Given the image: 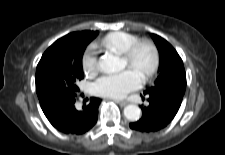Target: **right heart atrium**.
Returning <instances> with one entry per match:
<instances>
[{"instance_id":"d8ad5b80","label":"right heart atrium","mask_w":225,"mask_h":155,"mask_svg":"<svg viewBox=\"0 0 225 155\" xmlns=\"http://www.w3.org/2000/svg\"><path fill=\"white\" fill-rule=\"evenodd\" d=\"M82 67H83V71L88 75H92L96 72L97 56L93 47H89L85 51L82 58Z\"/></svg>"}]
</instances>
